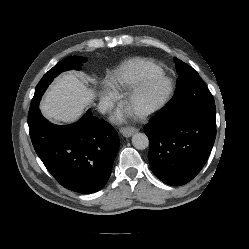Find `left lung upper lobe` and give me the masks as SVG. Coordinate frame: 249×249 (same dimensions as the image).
Returning a JSON list of instances; mask_svg holds the SVG:
<instances>
[{
	"label": "left lung upper lobe",
	"instance_id": "5c2ea615",
	"mask_svg": "<svg viewBox=\"0 0 249 249\" xmlns=\"http://www.w3.org/2000/svg\"><path fill=\"white\" fill-rule=\"evenodd\" d=\"M179 75L175 95L162 111L166 116H175L196 108H215L212 94L198 73L186 63L174 57Z\"/></svg>",
	"mask_w": 249,
	"mask_h": 249
}]
</instances>
